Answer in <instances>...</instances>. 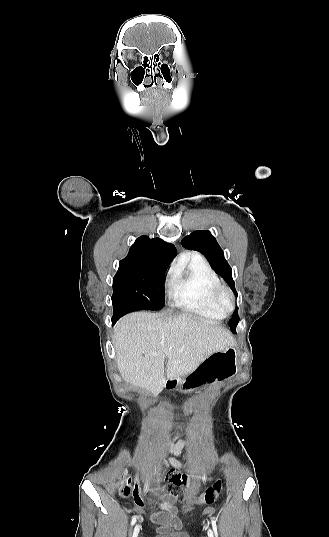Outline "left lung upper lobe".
Returning <instances> with one entry per match:
<instances>
[{
    "instance_id": "obj_1",
    "label": "left lung upper lobe",
    "mask_w": 329,
    "mask_h": 537,
    "mask_svg": "<svg viewBox=\"0 0 329 537\" xmlns=\"http://www.w3.org/2000/svg\"><path fill=\"white\" fill-rule=\"evenodd\" d=\"M181 244L189 250H196L203 254L209 261L211 268L228 283L237 296L231 267L224 258L223 250L209 231H194L183 238ZM238 322V309H236L233 317L229 320V326L233 332L236 331Z\"/></svg>"
}]
</instances>
